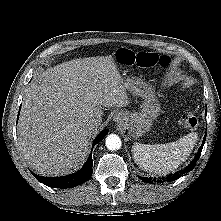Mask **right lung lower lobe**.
Masks as SVG:
<instances>
[{
    "instance_id": "obj_1",
    "label": "right lung lower lobe",
    "mask_w": 221,
    "mask_h": 221,
    "mask_svg": "<svg viewBox=\"0 0 221 221\" xmlns=\"http://www.w3.org/2000/svg\"><path fill=\"white\" fill-rule=\"evenodd\" d=\"M19 116V114H18ZM108 134V130H103L94 140L93 147L96 143L100 142L104 139V137ZM93 160H92V153H90L88 160L84 164V166L76 173L63 176V177H53V178H46L42 176H38L33 174L36 179L52 188H68V187H75L79 184L84 183L85 181L89 180L92 176V169Z\"/></svg>"
}]
</instances>
